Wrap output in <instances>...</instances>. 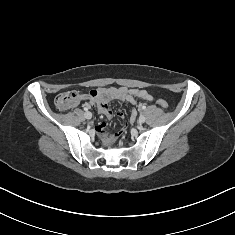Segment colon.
Masks as SVG:
<instances>
[{
    "label": "colon",
    "mask_w": 235,
    "mask_h": 235,
    "mask_svg": "<svg viewBox=\"0 0 235 235\" xmlns=\"http://www.w3.org/2000/svg\"><path fill=\"white\" fill-rule=\"evenodd\" d=\"M82 99V94L78 91H67L60 93L55 98V105L60 110H68L75 107ZM157 104L162 108H167L168 103L164 99H157ZM114 139L113 135H109L105 138L107 141Z\"/></svg>",
    "instance_id": "colon-1"
}]
</instances>
